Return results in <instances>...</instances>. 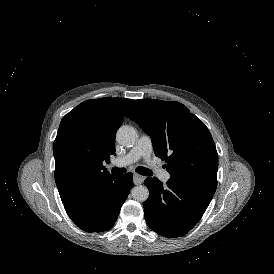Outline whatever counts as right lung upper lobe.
<instances>
[{"instance_id": "1", "label": "right lung upper lobe", "mask_w": 274, "mask_h": 274, "mask_svg": "<svg viewBox=\"0 0 274 274\" xmlns=\"http://www.w3.org/2000/svg\"><path fill=\"white\" fill-rule=\"evenodd\" d=\"M133 102L100 98L82 102L66 114L53 144L55 182L65 205L71 204L111 175L103 166L115 153V134Z\"/></svg>"}]
</instances>
